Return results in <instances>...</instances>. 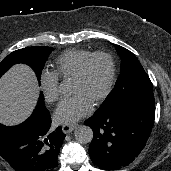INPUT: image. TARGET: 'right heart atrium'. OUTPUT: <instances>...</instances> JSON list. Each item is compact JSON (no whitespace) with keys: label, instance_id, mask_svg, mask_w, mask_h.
Returning a JSON list of instances; mask_svg holds the SVG:
<instances>
[{"label":"right heart atrium","instance_id":"1","mask_svg":"<svg viewBox=\"0 0 171 171\" xmlns=\"http://www.w3.org/2000/svg\"><path fill=\"white\" fill-rule=\"evenodd\" d=\"M39 87L44 100L55 103L59 98V79L54 72L43 71L39 77Z\"/></svg>","mask_w":171,"mask_h":171}]
</instances>
